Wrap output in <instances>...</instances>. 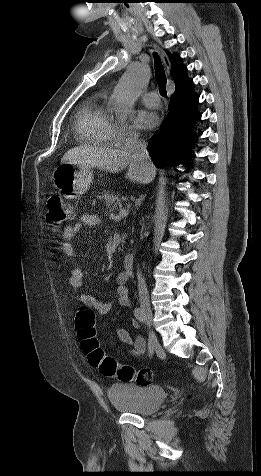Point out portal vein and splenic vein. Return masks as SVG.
Instances as JSON below:
<instances>
[{"label": "portal vein and splenic vein", "mask_w": 261, "mask_h": 476, "mask_svg": "<svg viewBox=\"0 0 261 476\" xmlns=\"http://www.w3.org/2000/svg\"><path fill=\"white\" fill-rule=\"evenodd\" d=\"M128 214H129V208L120 209L118 215L116 216V219H121L123 217H126Z\"/></svg>", "instance_id": "portal-vein-and-splenic-vein-1"}]
</instances>
